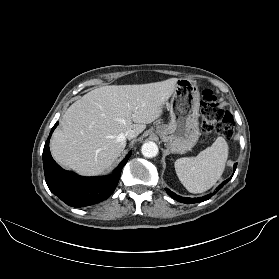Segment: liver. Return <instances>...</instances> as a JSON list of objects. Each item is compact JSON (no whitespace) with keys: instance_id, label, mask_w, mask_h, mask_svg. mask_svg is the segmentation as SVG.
<instances>
[{"instance_id":"obj_1","label":"liver","mask_w":279,"mask_h":279,"mask_svg":"<svg viewBox=\"0 0 279 279\" xmlns=\"http://www.w3.org/2000/svg\"><path fill=\"white\" fill-rule=\"evenodd\" d=\"M177 78L140 85L96 88L74 102L50 142L55 161L83 176L108 169L126 146V132H143L162 115Z\"/></svg>"}]
</instances>
